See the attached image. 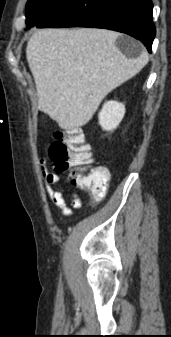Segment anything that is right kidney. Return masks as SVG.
<instances>
[{
    "instance_id": "right-kidney-1",
    "label": "right kidney",
    "mask_w": 171,
    "mask_h": 337,
    "mask_svg": "<svg viewBox=\"0 0 171 337\" xmlns=\"http://www.w3.org/2000/svg\"><path fill=\"white\" fill-rule=\"evenodd\" d=\"M125 114V105L117 101H108L99 113V124L103 130L112 131L122 121Z\"/></svg>"
}]
</instances>
